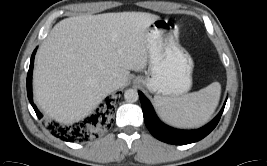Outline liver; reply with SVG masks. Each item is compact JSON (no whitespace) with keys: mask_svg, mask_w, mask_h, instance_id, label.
<instances>
[{"mask_svg":"<svg viewBox=\"0 0 267 166\" xmlns=\"http://www.w3.org/2000/svg\"><path fill=\"white\" fill-rule=\"evenodd\" d=\"M159 16L118 12L70 17L58 22L36 56L35 100L51 118L65 123L87 116L110 92L119 88L130 70L141 71L149 61L147 31Z\"/></svg>","mask_w":267,"mask_h":166,"instance_id":"liver-1","label":"liver"}]
</instances>
